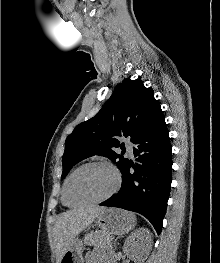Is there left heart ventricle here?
Segmentation results:
<instances>
[{
	"label": "left heart ventricle",
	"mask_w": 220,
	"mask_h": 263,
	"mask_svg": "<svg viewBox=\"0 0 220 263\" xmlns=\"http://www.w3.org/2000/svg\"><path fill=\"white\" fill-rule=\"evenodd\" d=\"M113 172L105 166H90L72 178L68 197L72 203H82L106 195L114 186Z\"/></svg>",
	"instance_id": "left-heart-ventricle-1"
}]
</instances>
